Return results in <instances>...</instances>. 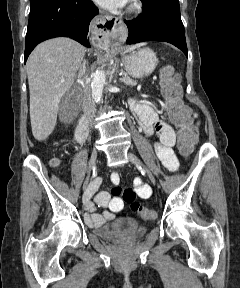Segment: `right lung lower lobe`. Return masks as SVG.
<instances>
[{
  "instance_id": "obj_1",
  "label": "right lung lower lobe",
  "mask_w": 240,
  "mask_h": 288,
  "mask_svg": "<svg viewBox=\"0 0 240 288\" xmlns=\"http://www.w3.org/2000/svg\"><path fill=\"white\" fill-rule=\"evenodd\" d=\"M98 12L91 0H45L31 8L24 62L37 44L54 37H70L90 47L89 24Z\"/></svg>"
}]
</instances>
